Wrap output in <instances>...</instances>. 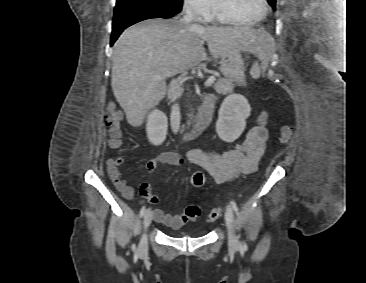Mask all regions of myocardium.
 I'll return each instance as SVG.
<instances>
[{
  "mask_svg": "<svg viewBox=\"0 0 366 283\" xmlns=\"http://www.w3.org/2000/svg\"><path fill=\"white\" fill-rule=\"evenodd\" d=\"M262 4H263V13L255 20L250 21V22H245V21H242V20L236 18L230 12L229 9L224 4L223 0H213V7H214L216 14L224 21L235 24V25H239V26H253V25H256L259 22H261L263 19H265L268 14V11H269V6H268L267 0H262Z\"/></svg>",
  "mask_w": 366,
  "mask_h": 283,
  "instance_id": "1",
  "label": "myocardium"
}]
</instances>
